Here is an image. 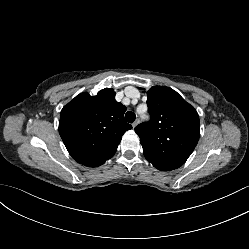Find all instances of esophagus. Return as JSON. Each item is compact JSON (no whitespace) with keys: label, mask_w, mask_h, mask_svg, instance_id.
I'll list each match as a JSON object with an SVG mask.
<instances>
[{"label":"esophagus","mask_w":249,"mask_h":249,"mask_svg":"<svg viewBox=\"0 0 249 249\" xmlns=\"http://www.w3.org/2000/svg\"><path fill=\"white\" fill-rule=\"evenodd\" d=\"M140 123L139 119H136L135 122L132 124L133 128H135Z\"/></svg>","instance_id":"esophagus-1"}]
</instances>
